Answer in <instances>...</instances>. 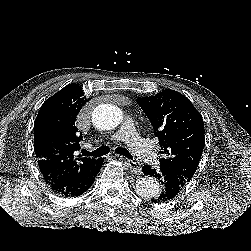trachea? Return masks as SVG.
<instances>
[{"label": "trachea", "instance_id": "1", "mask_svg": "<svg viewBox=\"0 0 251 251\" xmlns=\"http://www.w3.org/2000/svg\"><path fill=\"white\" fill-rule=\"evenodd\" d=\"M109 151H110V148L106 145H103V146L99 147L98 149L94 150L93 152H89L87 150H82V154L87 155V156L100 157V156L108 154ZM115 152L118 153L119 155H122V156L128 158V159H131V160L133 159V156L125 148L117 147L115 149Z\"/></svg>", "mask_w": 251, "mask_h": 251}]
</instances>
